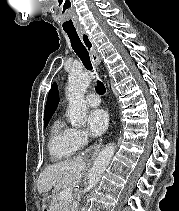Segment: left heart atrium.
<instances>
[{
    "instance_id": "1",
    "label": "left heart atrium",
    "mask_w": 179,
    "mask_h": 211,
    "mask_svg": "<svg viewBox=\"0 0 179 211\" xmlns=\"http://www.w3.org/2000/svg\"><path fill=\"white\" fill-rule=\"evenodd\" d=\"M87 124L89 132L92 136H100L102 135L109 124V118L107 113L102 109L92 110L87 115Z\"/></svg>"
}]
</instances>
